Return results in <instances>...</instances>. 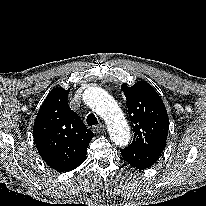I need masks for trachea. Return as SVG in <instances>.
I'll list each match as a JSON object with an SVG mask.
<instances>
[{
  "label": "trachea",
  "mask_w": 206,
  "mask_h": 206,
  "mask_svg": "<svg viewBox=\"0 0 206 206\" xmlns=\"http://www.w3.org/2000/svg\"><path fill=\"white\" fill-rule=\"evenodd\" d=\"M86 121H87L88 126H93V125L99 124L96 116L92 113L87 116Z\"/></svg>",
  "instance_id": "trachea-1"
}]
</instances>
